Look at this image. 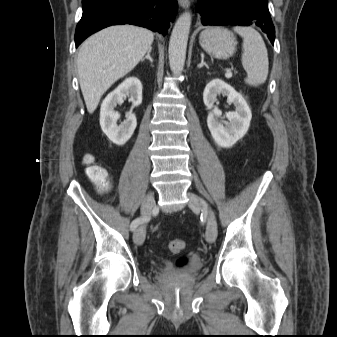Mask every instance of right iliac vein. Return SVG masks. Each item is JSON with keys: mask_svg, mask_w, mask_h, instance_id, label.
<instances>
[{"mask_svg": "<svg viewBox=\"0 0 337 337\" xmlns=\"http://www.w3.org/2000/svg\"><path fill=\"white\" fill-rule=\"evenodd\" d=\"M155 207L154 195L152 192H149L141 205V215L142 217L148 218ZM145 226L146 224L143 223L139 226L134 234H133V241L137 245H142L145 240Z\"/></svg>", "mask_w": 337, "mask_h": 337, "instance_id": "right-iliac-vein-1", "label": "right iliac vein"}]
</instances>
